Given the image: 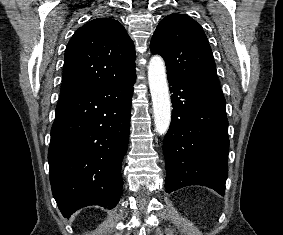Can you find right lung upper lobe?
I'll return each instance as SVG.
<instances>
[{
    "label": "right lung upper lobe",
    "mask_w": 283,
    "mask_h": 235,
    "mask_svg": "<svg viewBox=\"0 0 283 235\" xmlns=\"http://www.w3.org/2000/svg\"><path fill=\"white\" fill-rule=\"evenodd\" d=\"M135 73V48L124 27L112 18L93 19L78 28L64 56L59 99Z\"/></svg>",
    "instance_id": "1"
}]
</instances>
